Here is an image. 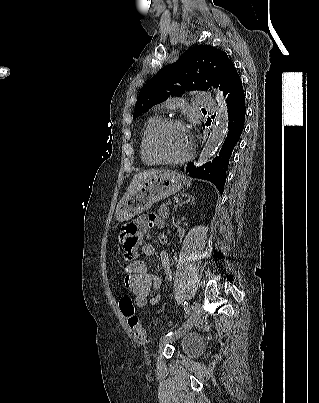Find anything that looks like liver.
<instances>
[{"label":"liver","mask_w":319,"mask_h":403,"mask_svg":"<svg viewBox=\"0 0 319 403\" xmlns=\"http://www.w3.org/2000/svg\"><path fill=\"white\" fill-rule=\"evenodd\" d=\"M160 172H161L160 170H150V171H146V172H142V173L134 175V177L127 189V192H129L131 189H133L140 182L146 180L147 178H149L151 176L157 175Z\"/></svg>","instance_id":"obj_1"}]
</instances>
